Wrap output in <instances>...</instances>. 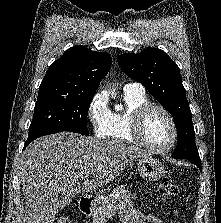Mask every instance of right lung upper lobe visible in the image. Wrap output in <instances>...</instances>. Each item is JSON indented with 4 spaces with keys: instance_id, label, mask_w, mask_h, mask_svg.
<instances>
[{
    "instance_id": "obj_1",
    "label": "right lung upper lobe",
    "mask_w": 221,
    "mask_h": 223,
    "mask_svg": "<svg viewBox=\"0 0 221 223\" xmlns=\"http://www.w3.org/2000/svg\"><path fill=\"white\" fill-rule=\"evenodd\" d=\"M112 64L109 53L84 46L69 48L49 67L37 100L70 96H94Z\"/></svg>"
}]
</instances>
